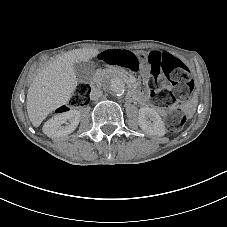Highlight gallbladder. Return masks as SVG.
I'll use <instances>...</instances> for the list:
<instances>
[{
	"label": "gallbladder",
	"instance_id": "bac80fb5",
	"mask_svg": "<svg viewBox=\"0 0 227 227\" xmlns=\"http://www.w3.org/2000/svg\"><path fill=\"white\" fill-rule=\"evenodd\" d=\"M74 72L78 83H89L95 72L94 61L88 59L83 61H77L73 63Z\"/></svg>",
	"mask_w": 227,
	"mask_h": 227
}]
</instances>
